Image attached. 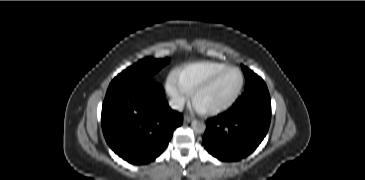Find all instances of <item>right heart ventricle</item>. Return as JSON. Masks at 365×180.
<instances>
[{
	"instance_id": "e07e8e85",
	"label": "right heart ventricle",
	"mask_w": 365,
	"mask_h": 180,
	"mask_svg": "<svg viewBox=\"0 0 365 180\" xmlns=\"http://www.w3.org/2000/svg\"><path fill=\"white\" fill-rule=\"evenodd\" d=\"M229 66L222 62L205 61L189 64L176 71L179 83L184 90L191 94L199 85L216 72Z\"/></svg>"
}]
</instances>
